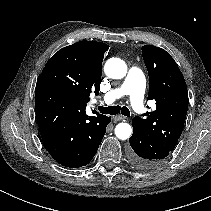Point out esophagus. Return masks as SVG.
Listing matches in <instances>:
<instances>
[{
    "mask_svg": "<svg viewBox=\"0 0 211 211\" xmlns=\"http://www.w3.org/2000/svg\"><path fill=\"white\" fill-rule=\"evenodd\" d=\"M124 119H126V117L123 116V115H116V116L113 117V120H114L115 122H117V121H122V120H124Z\"/></svg>",
    "mask_w": 211,
    "mask_h": 211,
    "instance_id": "1",
    "label": "esophagus"
}]
</instances>
